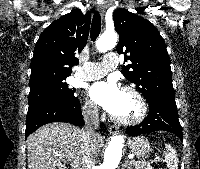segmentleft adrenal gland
Returning <instances> with one entry per match:
<instances>
[{
	"label": "left adrenal gland",
	"instance_id": "a2214340",
	"mask_svg": "<svg viewBox=\"0 0 200 169\" xmlns=\"http://www.w3.org/2000/svg\"><path fill=\"white\" fill-rule=\"evenodd\" d=\"M125 168L132 169V164L129 162L128 158H126L124 164L122 165V169H125Z\"/></svg>",
	"mask_w": 200,
	"mask_h": 169
}]
</instances>
